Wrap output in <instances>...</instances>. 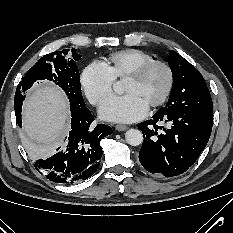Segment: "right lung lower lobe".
I'll list each match as a JSON object with an SVG mask.
<instances>
[{
    "instance_id": "1",
    "label": "right lung lower lobe",
    "mask_w": 233,
    "mask_h": 233,
    "mask_svg": "<svg viewBox=\"0 0 233 233\" xmlns=\"http://www.w3.org/2000/svg\"><path fill=\"white\" fill-rule=\"evenodd\" d=\"M22 102L15 104V115L21 127ZM71 130L56 147L38 158L36 170L51 181L72 184L86 180L98 169L103 154L100 140L112 133L110 126L98 124L91 127L94 118L85 106H71ZM35 153V151H31Z\"/></svg>"
}]
</instances>
